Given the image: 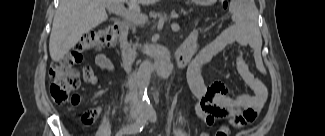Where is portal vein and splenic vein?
I'll list each match as a JSON object with an SVG mask.
<instances>
[{
	"instance_id": "1",
	"label": "portal vein and splenic vein",
	"mask_w": 325,
	"mask_h": 136,
	"mask_svg": "<svg viewBox=\"0 0 325 136\" xmlns=\"http://www.w3.org/2000/svg\"><path fill=\"white\" fill-rule=\"evenodd\" d=\"M107 8L110 12L114 13L115 15L124 18L130 22L135 24H144L146 21V17L142 16L141 14L135 13L131 10H126L123 5H107ZM172 28H179L178 24H174Z\"/></svg>"
}]
</instances>
